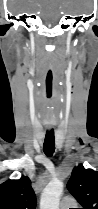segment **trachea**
<instances>
[{
	"label": "trachea",
	"mask_w": 98,
	"mask_h": 209,
	"mask_svg": "<svg viewBox=\"0 0 98 209\" xmlns=\"http://www.w3.org/2000/svg\"><path fill=\"white\" fill-rule=\"evenodd\" d=\"M43 151L49 157H51L55 151V138L53 129L46 132Z\"/></svg>",
	"instance_id": "obj_1"
}]
</instances>
